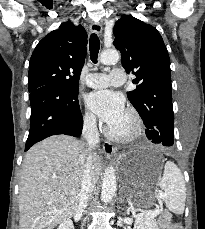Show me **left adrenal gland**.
I'll use <instances>...</instances> for the list:
<instances>
[{
	"mask_svg": "<svg viewBox=\"0 0 205 229\" xmlns=\"http://www.w3.org/2000/svg\"><path fill=\"white\" fill-rule=\"evenodd\" d=\"M125 201V196L123 195V192L121 191L120 193H119V202L120 203H123Z\"/></svg>",
	"mask_w": 205,
	"mask_h": 229,
	"instance_id": "obj_1",
	"label": "left adrenal gland"
}]
</instances>
